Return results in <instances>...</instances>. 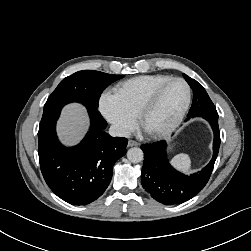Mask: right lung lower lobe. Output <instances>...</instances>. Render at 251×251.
<instances>
[{
	"instance_id": "98d812e1",
	"label": "right lung lower lobe",
	"mask_w": 251,
	"mask_h": 251,
	"mask_svg": "<svg viewBox=\"0 0 251 251\" xmlns=\"http://www.w3.org/2000/svg\"><path fill=\"white\" fill-rule=\"evenodd\" d=\"M67 103L44 108L38 131L39 162L50 189L72 205H86L108 187L114 163L126 154L127 139L104 132L107 122L97 108L86 105L91 127L80 144L64 147L56 135V121Z\"/></svg>"
}]
</instances>
